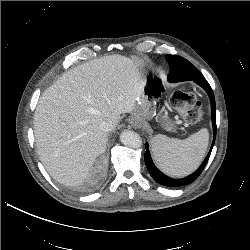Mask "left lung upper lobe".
Wrapping results in <instances>:
<instances>
[{
	"mask_svg": "<svg viewBox=\"0 0 250 250\" xmlns=\"http://www.w3.org/2000/svg\"><path fill=\"white\" fill-rule=\"evenodd\" d=\"M174 57H175V55H166L167 61H168L170 58H174Z\"/></svg>",
	"mask_w": 250,
	"mask_h": 250,
	"instance_id": "1",
	"label": "left lung upper lobe"
}]
</instances>
